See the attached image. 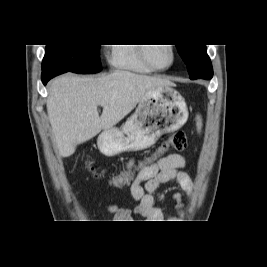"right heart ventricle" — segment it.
I'll return each instance as SVG.
<instances>
[{
  "label": "right heart ventricle",
  "instance_id": "right-heart-ventricle-1",
  "mask_svg": "<svg viewBox=\"0 0 267 267\" xmlns=\"http://www.w3.org/2000/svg\"><path fill=\"white\" fill-rule=\"evenodd\" d=\"M137 45L139 44H114L108 55L110 66L116 70L152 73L154 70L143 61L141 46Z\"/></svg>",
  "mask_w": 267,
  "mask_h": 267
}]
</instances>
